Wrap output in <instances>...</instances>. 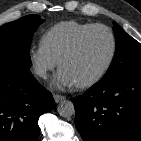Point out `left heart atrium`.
<instances>
[{
  "mask_svg": "<svg viewBox=\"0 0 141 141\" xmlns=\"http://www.w3.org/2000/svg\"><path fill=\"white\" fill-rule=\"evenodd\" d=\"M75 85L72 78L63 69H59L51 82V86L57 89H65Z\"/></svg>",
  "mask_w": 141,
  "mask_h": 141,
  "instance_id": "39dd6f15",
  "label": "left heart atrium"
}]
</instances>
